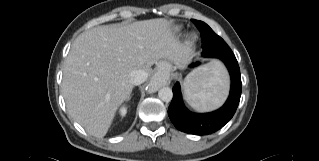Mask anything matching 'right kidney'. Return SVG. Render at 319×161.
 Instances as JSON below:
<instances>
[{
    "label": "right kidney",
    "instance_id": "right-kidney-1",
    "mask_svg": "<svg viewBox=\"0 0 319 161\" xmlns=\"http://www.w3.org/2000/svg\"><path fill=\"white\" fill-rule=\"evenodd\" d=\"M126 112H127V108H126V107H122V108L120 109V114H121V116H125Z\"/></svg>",
    "mask_w": 319,
    "mask_h": 161
}]
</instances>
